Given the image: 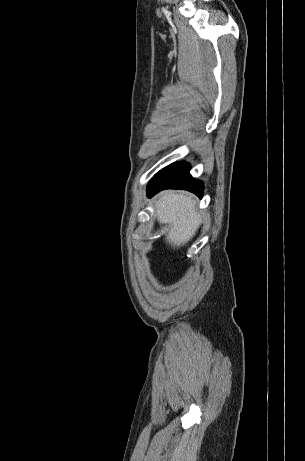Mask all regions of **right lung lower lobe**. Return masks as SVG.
<instances>
[{"label": "right lung lower lobe", "mask_w": 305, "mask_h": 461, "mask_svg": "<svg viewBox=\"0 0 305 461\" xmlns=\"http://www.w3.org/2000/svg\"><path fill=\"white\" fill-rule=\"evenodd\" d=\"M190 166L185 162L173 163L160 170L150 180L147 188L148 197L164 189H185L203 195V183L189 174Z\"/></svg>", "instance_id": "right-lung-lower-lobe-1"}]
</instances>
